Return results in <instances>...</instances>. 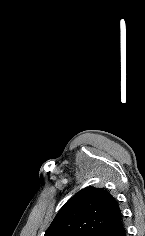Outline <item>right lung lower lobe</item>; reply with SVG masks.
<instances>
[{
  "instance_id": "98d812e1",
  "label": "right lung lower lobe",
  "mask_w": 145,
  "mask_h": 236,
  "mask_svg": "<svg viewBox=\"0 0 145 236\" xmlns=\"http://www.w3.org/2000/svg\"><path fill=\"white\" fill-rule=\"evenodd\" d=\"M98 236H126V230L124 228L122 219L102 231L100 234H98Z\"/></svg>"
}]
</instances>
